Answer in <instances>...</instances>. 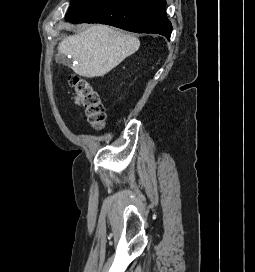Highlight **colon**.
<instances>
[{
	"label": "colon",
	"mask_w": 255,
	"mask_h": 272,
	"mask_svg": "<svg viewBox=\"0 0 255 272\" xmlns=\"http://www.w3.org/2000/svg\"><path fill=\"white\" fill-rule=\"evenodd\" d=\"M69 84L74 100L83 109L88 122L96 129H101L106 116L98 90L84 77L71 76Z\"/></svg>",
	"instance_id": "colon-1"
}]
</instances>
